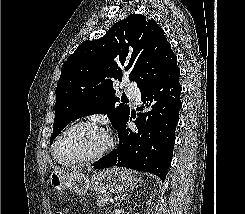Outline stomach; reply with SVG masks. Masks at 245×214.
<instances>
[{
  "label": "stomach",
  "instance_id": "0dacf381",
  "mask_svg": "<svg viewBox=\"0 0 245 214\" xmlns=\"http://www.w3.org/2000/svg\"><path fill=\"white\" fill-rule=\"evenodd\" d=\"M137 179L130 171L117 167L104 169L95 173L91 178L81 172L67 173L55 169L49 175L48 183L58 192L70 189L77 195H85L89 190L96 193L123 192L132 187Z\"/></svg>",
  "mask_w": 245,
  "mask_h": 214
}]
</instances>
